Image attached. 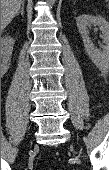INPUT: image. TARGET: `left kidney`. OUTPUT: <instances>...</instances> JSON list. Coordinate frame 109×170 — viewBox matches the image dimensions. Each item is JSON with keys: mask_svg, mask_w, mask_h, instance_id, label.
I'll return each mask as SVG.
<instances>
[{"mask_svg": "<svg viewBox=\"0 0 109 170\" xmlns=\"http://www.w3.org/2000/svg\"><path fill=\"white\" fill-rule=\"evenodd\" d=\"M76 24L91 61L100 70H107L109 67V22L101 16L83 14L76 18ZM91 25L98 26L102 33L104 43L101 45L102 50L97 49L89 38L88 27Z\"/></svg>", "mask_w": 109, "mask_h": 170, "instance_id": "obj_1", "label": "left kidney"}]
</instances>
